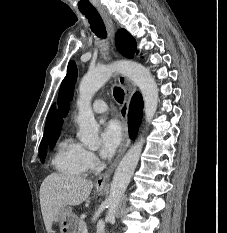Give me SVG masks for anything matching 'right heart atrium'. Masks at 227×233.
Instances as JSON below:
<instances>
[{
  "label": "right heart atrium",
  "instance_id": "right-heart-atrium-1",
  "mask_svg": "<svg viewBox=\"0 0 227 233\" xmlns=\"http://www.w3.org/2000/svg\"><path fill=\"white\" fill-rule=\"evenodd\" d=\"M85 161L88 169H93L98 164L96 155L90 150H85Z\"/></svg>",
  "mask_w": 227,
  "mask_h": 233
}]
</instances>
